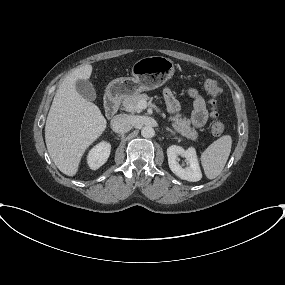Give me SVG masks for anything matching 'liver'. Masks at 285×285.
I'll return each mask as SVG.
<instances>
[{
  "label": "liver",
  "instance_id": "1",
  "mask_svg": "<svg viewBox=\"0 0 285 285\" xmlns=\"http://www.w3.org/2000/svg\"><path fill=\"white\" fill-rule=\"evenodd\" d=\"M92 70L93 67L86 64L66 76L46 120L48 153L57 168L67 176L76 175L84 152L107 126L100 109L76 90V81L88 80Z\"/></svg>",
  "mask_w": 285,
  "mask_h": 285
}]
</instances>
